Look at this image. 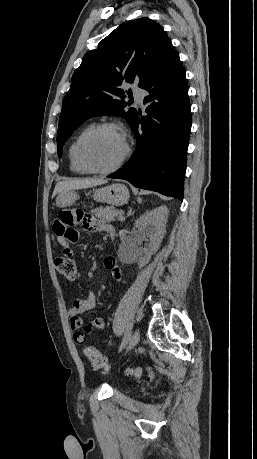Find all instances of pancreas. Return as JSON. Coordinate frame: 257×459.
I'll list each match as a JSON object with an SVG mask.
<instances>
[{
	"mask_svg": "<svg viewBox=\"0 0 257 459\" xmlns=\"http://www.w3.org/2000/svg\"><path fill=\"white\" fill-rule=\"evenodd\" d=\"M91 213L104 222H112L121 214V211L112 206H100L91 210Z\"/></svg>",
	"mask_w": 257,
	"mask_h": 459,
	"instance_id": "pancreas-1",
	"label": "pancreas"
}]
</instances>
